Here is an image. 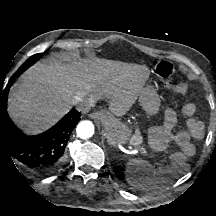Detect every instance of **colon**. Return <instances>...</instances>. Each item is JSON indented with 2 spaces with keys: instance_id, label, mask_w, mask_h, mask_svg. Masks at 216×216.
<instances>
[{
  "instance_id": "5ec220e1",
  "label": "colon",
  "mask_w": 216,
  "mask_h": 216,
  "mask_svg": "<svg viewBox=\"0 0 216 216\" xmlns=\"http://www.w3.org/2000/svg\"><path fill=\"white\" fill-rule=\"evenodd\" d=\"M153 70L159 77L171 82V88L176 95L180 97L186 95L187 85L184 81V75L177 66L170 62L155 60Z\"/></svg>"
}]
</instances>
